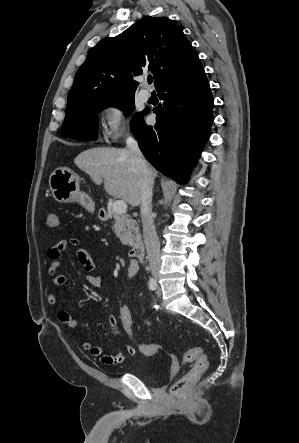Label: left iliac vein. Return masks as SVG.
Listing matches in <instances>:
<instances>
[{"mask_svg":"<svg viewBox=\"0 0 299 443\" xmlns=\"http://www.w3.org/2000/svg\"><path fill=\"white\" fill-rule=\"evenodd\" d=\"M161 294H162V291H161L160 286L158 285V287H157V295L161 296Z\"/></svg>","mask_w":299,"mask_h":443,"instance_id":"obj_1","label":"left iliac vein"}]
</instances>
